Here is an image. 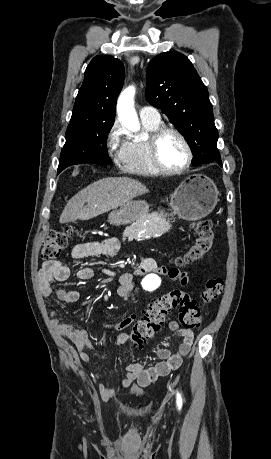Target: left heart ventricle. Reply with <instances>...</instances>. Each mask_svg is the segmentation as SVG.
<instances>
[{
    "mask_svg": "<svg viewBox=\"0 0 271 459\" xmlns=\"http://www.w3.org/2000/svg\"><path fill=\"white\" fill-rule=\"evenodd\" d=\"M163 162L171 167L183 165L188 159V151L183 140L174 133L166 134L160 142Z\"/></svg>",
    "mask_w": 271,
    "mask_h": 459,
    "instance_id": "1",
    "label": "left heart ventricle"
}]
</instances>
